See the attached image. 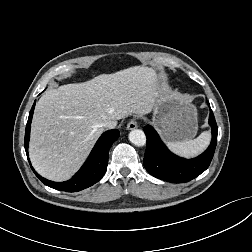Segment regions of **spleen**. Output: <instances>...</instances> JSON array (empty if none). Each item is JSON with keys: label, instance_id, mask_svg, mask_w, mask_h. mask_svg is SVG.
<instances>
[{"label": "spleen", "instance_id": "3e777b00", "mask_svg": "<svg viewBox=\"0 0 252 252\" xmlns=\"http://www.w3.org/2000/svg\"><path fill=\"white\" fill-rule=\"evenodd\" d=\"M210 138V133L205 131L193 140L169 142L168 147L176 154L194 157L207 148Z\"/></svg>", "mask_w": 252, "mask_h": 252}]
</instances>
